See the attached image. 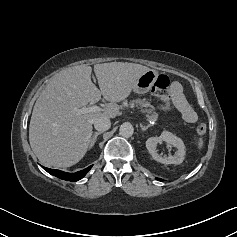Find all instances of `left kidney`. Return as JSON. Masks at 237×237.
Returning <instances> with one entry per match:
<instances>
[{
	"label": "left kidney",
	"instance_id": "obj_1",
	"mask_svg": "<svg viewBox=\"0 0 237 237\" xmlns=\"http://www.w3.org/2000/svg\"><path fill=\"white\" fill-rule=\"evenodd\" d=\"M160 142H166L177 148L174 155L161 156L157 153L156 147ZM146 147L153 159L162 164H181L185 157V145L183 141L169 131H163L159 137H150L146 141Z\"/></svg>",
	"mask_w": 237,
	"mask_h": 237
}]
</instances>
